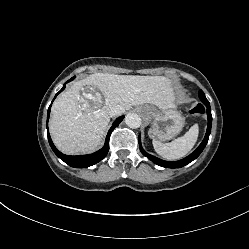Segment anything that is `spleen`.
Returning a JSON list of instances; mask_svg holds the SVG:
<instances>
[{
  "label": "spleen",
  "instance_id": "3e777b00",
  "mask_svg": "<svg viewBox=\"0 0 249 249\" xmlns=\"http://www.w3.org/2000/svg\"><path fill=\"white\" fill-rule=\"evenodd\" d=\"M199 134L198 124L193 125L184 136L175 139L171 143H162L153 140V147L158 155L166 160H178L186 156L194 147Z\"/></svg>",
  "mask_w": 249,
  "mask_h": 249
}]
</instances>
